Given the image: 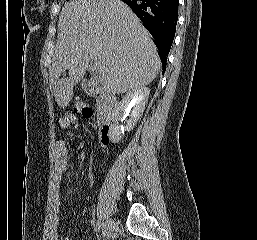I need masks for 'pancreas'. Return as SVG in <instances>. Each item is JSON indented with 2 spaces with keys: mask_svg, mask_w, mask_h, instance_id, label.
Returning <instances> with one entry per match:
<instances>
[{
  "mask_svg": "<svg viewBox=\"0 0 257 240\" xmlns=\"http://www.w3.org/2000/svg\"><path fill=\"white\" fill-rule=\"evenodd\" d=\"M96 105H97V110H98L99 112L104 111V109H105V103H104L103 99H98V100L96 101Z\"/></svg>",
  "mask_w": 257,
  "mask_h": 240,
  "instance_id": "1",
  "label": "pancreas"
}]
</instances>
